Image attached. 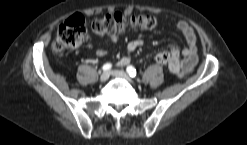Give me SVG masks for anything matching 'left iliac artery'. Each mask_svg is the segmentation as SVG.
Wrapping results in <instances>:
<instances>
[{
    "mask_svg": "<svg viewBox=\"0 0 247 145\" xmlns=\"http://www.w3.org/2000/svg\"><path fill=\"white\" fill-rule=\"evenodd\" d=\"M126 71L131 77H135L137 74L136 69L133 66H128Z\"/></svg>",
    "mask_w": 247,
    "mask_h": 145,
    "instance_id": "1",
    "label": "left iliac artery"
}]
</instances>
